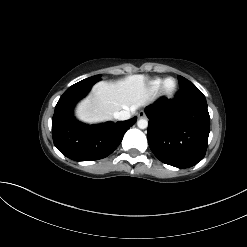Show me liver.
<instances>
[{"instance_id": "1", "label": "liver", "mask_w": 247, "mask_h": 247, "mask_svg": "<svg viewBox=\"0 0 247 247\" xmlns=\"http://www.w3.org/2000/svg\"><path fill=\"white\" fill-rule=\"evenodd\" d=\"M144 75H130L114 83L98 82L91 94L76 107L77 118L88 124L110 121L114 113L135 110L150 100Z\"/></svg>"}]
</instances>
